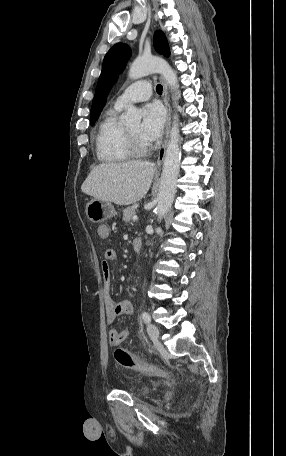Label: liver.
I'll return each mask as SVG.
<instances>
[{"label": "liver", "instance_id": "liver-1", "mask_svg": "<svg viewBox=\"0 0 286 456\" xmlns=\"http://www.w3.org/2000/svg\"><path fill=\"white\" fill-rule=\"evenodd\" d=\"M154 173L155 164L149 161L103 163L91 170L81 190L97 200L130 205L147 194Z\"/></svg>", "mask_w": 286, "mask_h": 456}]
</instances>
